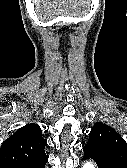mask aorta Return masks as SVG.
Here are the masks:
<instances>
[{
    "label": "aorta",
    "mask_w": 127,
    "mask_h": 168,
    "mask_svg": "<svg viewBox=\"0 0 127 168\" xmlns=\"http://www.w3.org/2000/svg\"><path fill=\"white\" fill-rule=\"evenodd\" d=\"M82 168H95L94 164L91 161H86Z\"/></svg>",
    "instance_id": "aorta-1"
}]
</instances>
